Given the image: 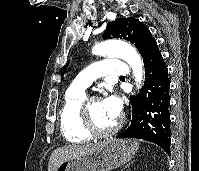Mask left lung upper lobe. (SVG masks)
Returning <instances> with one entry per match:
<instances>
[{
  "mask_svg": "<svg viewBox=\"0 0 199 171\" xmlns=\"http://www.w3.org/2000/svg\"><path fill=\"white\" fill-rule=\"evenodd\" d=\"M111 38H121L133 43L140 54L150 42L155 40L149 29L134 17L117 18L114 22L108 23L103 39ZM67 65L68 63L65 66V70Z\"/></svg>",
  "mask_w": 199,
  "mask_h": 171,
  "instance_id": "left-lung-upper-lobe-1",
  "label": "left lung upper lobe"
}]
</instances>
